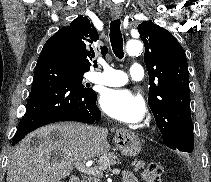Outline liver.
<instances>
[{
	"mask_svg": "<svg viewBox=\"0 0 211 182\" xmlns=\"http://www.w3.org/2000/svg\"><path fill=\"white\" fill-rule=\"evenodd\" d=\"M53 131L59 133V138H52ZM107 135L105 128L80 123L41 127L11 151L7 182H59L70 175L76 161H88L107 153L110 150ZM33 137L39 138L38 145H31Z\"/></svg>",
	"mask_w": 211,
	"mask_h": 182,
	"instance_id": "1",
	"label": "liver"
}]
</instances>
